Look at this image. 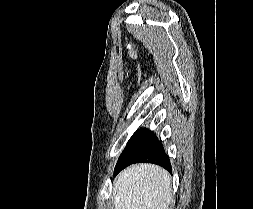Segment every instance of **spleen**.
Masks as SVG:
<instances>
[{"label":"spleen","instance_id":"spleen-1","mask_svg":"<svg viewBox=\"0 0 253 209\" xmlns=\"http://www.w3.org/2000/svg\"><path fill=\"white\" fill-rule=\"evenodd\" d=\"M113 197L115 209H168L170 176L155 165L132 166L117 177Z\"/></svg>","mask_w":253,"mask_h":209}]
</instances>
